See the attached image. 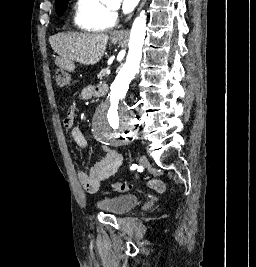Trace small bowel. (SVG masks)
<instances>
[{"label":"small bowel","instance_id":"c3829d8e","mask_svg":"<svg viewBox=\"0 0 256 267\" xmlns=\"http://www.w3.org/2000/svg\"><path fill=\"white\" fill-rule=\"evenodd\" d=\"M105 91L106 89L103 86L87 85L81 90V98L90 100L104 95ZM75 114L76 111L73 107L68 108L63 124L71 130V136L75 143L86 149L88 147L87 140L80 129L74 125ZM102 149L104 158L88 170H81L78 174L80 183L89 193H96L103 181L116 174L123 161L122 154L112 146L106 144L103 145Z\"/></svg>","mask_w":256,"mask_h":267}]
</instances>
